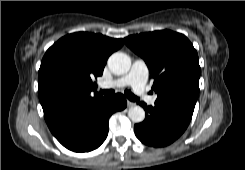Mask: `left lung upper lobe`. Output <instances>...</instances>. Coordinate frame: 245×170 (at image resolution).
I'll return each mask as SVG.
<instances>
[{
    "label": "left lung upper lobe",
    "mask_w": 245,
    "mask_h": 170,
    "mask_svg": "<svg viewBox=\"0 0 245 170\" xmlns=\"http://www.w3.org/2000/svg\"><path fill=\"white\" fill-rule=\"evenodd\" d=\"M127 46L141 56L153 79L156 102L191 111L199 94L200 66L197 51L186 36L170 30L131 35Z\"/></svg>",
    "instance_id": "5c2ea615"
}]
</instances>
